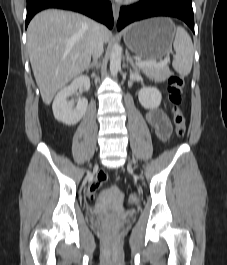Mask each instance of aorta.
Segmentation results:
<instances>
[{
  "label": "aorta",
  "instance_id": "762f6f07",
  "mask_svg": "<svg viewBox=\"0 0 227 265\" xmlns=\"http://www.w3.org/2000/svg\"><path fill=\"white\" fill-rule=\"evenodd\" d=\"M121 68V47L115 43L111 50L110 55V72L116 76Z\"/></svg>",
  "mask_w": 227,
  "mask_h": 265
}]
</instances>
